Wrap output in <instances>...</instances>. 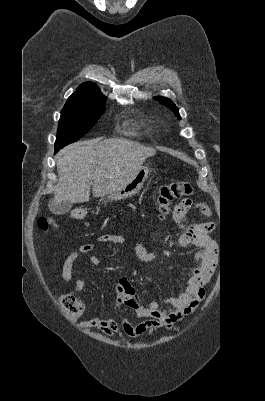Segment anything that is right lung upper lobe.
<instances>
[{"label": "right lung upper lobe", "instance_id": "obj_1", "mask_svg": "<svg viewBox=\"0 0 265 401\" xmlns=\"http://www.w3.org/2000/svg\"><path fill=\"white\" fill-rule=\"evenodd\" d=\"M99 101H106V97L94 83L85 82L68 98L65 106Z\"/></svg>", "mask_w": 265, "mask_h": 401}]
</instances>
